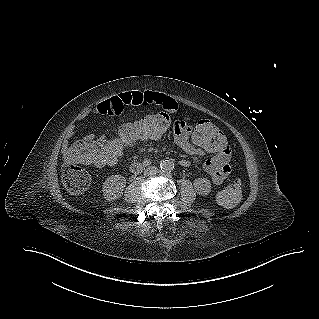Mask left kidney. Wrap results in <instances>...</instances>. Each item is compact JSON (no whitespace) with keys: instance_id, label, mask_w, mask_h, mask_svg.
Returning a JSON list of instances; mask_svg holds the SVG:
<instances>
[{"instance_id":"left-kidney-1","label":"left kidney","mask_w":319,"mask_h":319,"mask_svg":"<svg viewBox=\"0 0 319 319\" xmlns=\"http://www.w3.org/2000/svg\"><path fill=\"white\" fill-rule=\"evenodd\" d=\"M194 187L198 194L207 195L211 191V183L206 178H198L194 181Z\"/></svg>"}]
</instances>
